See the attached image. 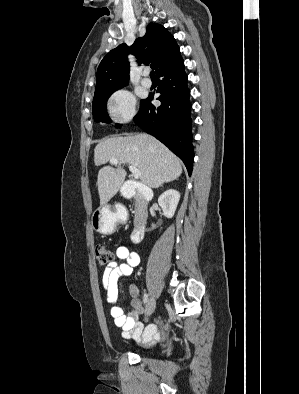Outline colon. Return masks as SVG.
<instances>
[{
  "mask_svg": "<svg viewBox=\"0 0 299 394\" xmlns=\"http://www.w3.org/2000/svg\"><path fill=\"white\" fill-rule=\"evenodd\" d=\"M95 256L100 266H106L113 262L114 255L111 248L105 244H98L95 247Z\"/></svg>",
  "mask_w": 299,
  "mask_h": 394,
  "instance_id": "colon-1",
  "label": "colon"
}]
</instances>
